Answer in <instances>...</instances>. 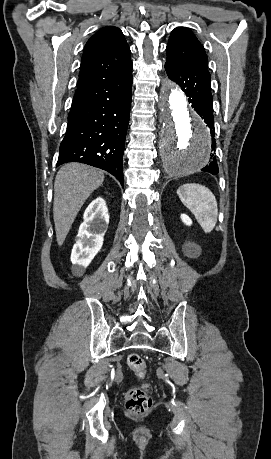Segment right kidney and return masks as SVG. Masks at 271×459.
Returning <instances> with one entry per match:
<instances>
[{
    "instance_id": "1",
    "label": "right kidney",
    "mask_w": 271,
    "mask_h": 459,
    "mask_svg": "<svg viewBox=\"0 0 271 459\" xmlns=\"http://www.w3.org/2000/svg\"><path fill=\"white\" fill-rule=\"evenodd\" d=\"M82 222L77 233V241L73 245L71 261L73 275H83L97 251H100L104 235L109 224L108 208L103 198H96L84 212Z\"/></svg>"
}]
</instances>
